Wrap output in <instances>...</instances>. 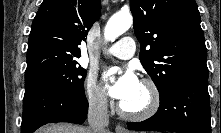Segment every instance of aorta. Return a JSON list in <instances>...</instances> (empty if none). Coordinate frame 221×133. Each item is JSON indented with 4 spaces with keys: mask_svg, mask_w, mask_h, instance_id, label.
I'll use <instances>...</instances> for the list:
<instances>
[{
    "mask_svg": "<svg viewBox=\"0 0 221 133\" xmlns=\"http://www.w3.org/2000/svg\"><path fill=\"white\" fill-rule=\"evenodd\" d=\"M133 18L129 13H118L113 15L106 24L104 36L107 41H114L126 32L132 25Z\"/></svg>",
    "mask_w": 221,
    "mask_h": 133,
    "instance_id": "aorta-1",
    "label": "aorta"
}]
</instances>
